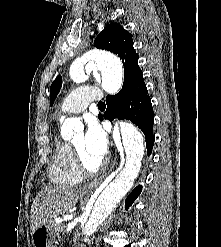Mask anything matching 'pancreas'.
Wrapping results in <instances>:
<instances>
[{
    "label": "pancreas",
    "mask_w": 221,
    "mask_h": 247,
    "mask_svg": "<svg viewBox=\"0 0 221 247\" xmlns=\"http://www.w3.org/2000/svg\"><path fill=\"white\" fill-rule=\"evenodd\" d=\"M52 228H53V232L55 234V236L58 237V240H61V234L64 232L65 230V224H55L52 223Z\"/></svg>",
    "instance_id": "pancreas-1"
}]
</instances>
